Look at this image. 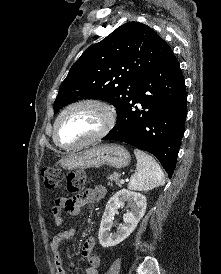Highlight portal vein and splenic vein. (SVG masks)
Masks as SVG:
<instances>
[{
    "label": "portal vein and splenic vein",
    "mask_w": 221,
    "mask_h": 274,
    "mask_svg": "<svg viewBox=\"0 0 221 274\" xmlns=\"http://www.w3.org/2000/svg\"><path fill=\"white\" fill-rule=\"evenodd\" d=\"M120 182H121V183H124V180L122 179Z\"/></svg>",
    "instance_id": "portal-vein-and-splenic-vein-1"
}]
</instances>
